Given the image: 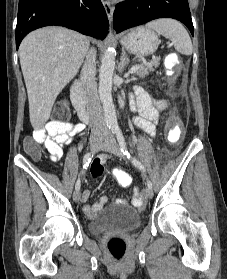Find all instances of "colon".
Returning <instances> with one entry per match:
<instances>
[{
  "label": "colon",
  "mask_w": 227,
  "mask_h": 279,
  "mask_svg": "<svg viewBox=\"0 0 227 279\" xmlns=\"http://www.w3.org/2000/svg\"><path fill=\"white\" fill-rule=\"evenodd\" d=\"M55 119L54 123H57L59 126L64 127L68 123V117H69V107L66 102H61L56 105L54 109ZM25 151L30 154L34 159H41L42 153H41V146L34 141H26L24 145ZM91 171L93 174H98L102 171V168L95 164L92 166ZM116 181L124 187H127L131 185L132 178L130 174L124 170H116L114 172ZM142 199L137 198L134 203L136 205L142 204ZM108 248L110 253L115 257L116 259H119L124 254V245L119 241H111L108 244Z\"/></svg>",
  "instance_id": "5ec220e1"
}]
</instances>
